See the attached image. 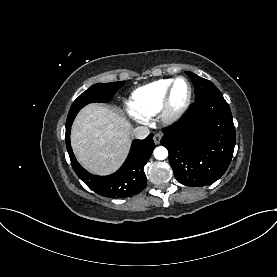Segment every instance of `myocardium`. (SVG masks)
I'll return each instance as SVG.
<instances>
[{"mask_svg":"<svg viewBox=\"0 0 277 277\" xmlns=\"http://www.w3.org/2000/svg\"><path fill=\"white\" fill-rule=\"evenodd\" d=\"M179 81H184L187 84L188 94L186 99L180 106L174 107L172 104V97H173L175 86ZM192 97H193V88H192L191 82L187 78L182 76L175 78L170 84V86L168 87L164 95L161 107L158 111L161 120L164 121L165 123H173L179 120L189 108L192 101Z\"/></svg>","mask_w":277,"mask_h":277,"instance_id":"obj_1","label":"myocardium"}]
</instances>
